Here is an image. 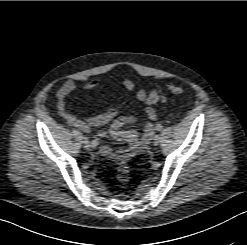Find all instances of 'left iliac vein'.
Masks as SVG:
<instances>
[{
	"mask_svg": "<svg viewBox=\"0 0 247 245\" xmlns=\"http://www.w3.org/2000/svg\"><path fill=\"white\" fill-rule=\"evenodd\" d=\"M159 142H160V136H159V135H156V136L154 137V145H158Z\"/></svg>",
	"mask_w": 247,
	"mask_h": 245,
	"instance_id": "4c4485c4",
	"label": "left iliac vein"
}]
</instances>
